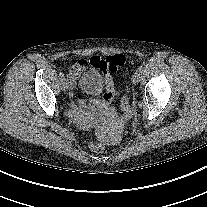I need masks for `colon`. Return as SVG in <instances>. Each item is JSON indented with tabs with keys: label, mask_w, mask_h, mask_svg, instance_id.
Listing matches in <instances>:
<instances>
[{
	"label": "colon",
	"mask_w": 207,
	"mask_h": 207,
	"mask_svg": "<svg viewBox=\"0 0 207 207\" xmlns=\"http://www.w3.org/2000/svg\"><path fill=\"white\" fill-rule=\"evenodd\" d=\"M96 65L106 74H117L121 71L125 72L126 60L122 55H116L106 59H100L95 62ZM130 89L126 86L124 88V95L121 98L120 106L124 113L129 114L131 112V105L129 100ZM89 147L95 152H102L105 148L104 143L96 138H90L88 140Z\"/></svg>",
	"instance_id": "5ec220e1"
}]
</instances>
